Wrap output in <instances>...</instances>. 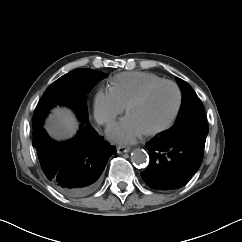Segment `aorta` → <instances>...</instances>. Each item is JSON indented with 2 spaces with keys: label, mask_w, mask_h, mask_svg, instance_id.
I'll use <instances>...</instances> for the list:
<instances>
[{
  "label": "aorta",
  "mask_w": 242,
  "mask_h": 242,
  "mask_svg": "<svg viewBox=\"0 0 242 242\" xmlns=\"http://www.w3.org/2000/svg\"><path fill=\"white\" fill-rule=\"evenodd\" d=\"M131 158L133 162L137 165H144L149 161L148 153L140 148H137L132 152Z\"/></svg>",
  "instance_id": "obj_1"
}]
</instances>
